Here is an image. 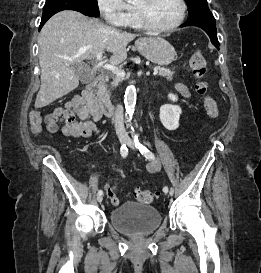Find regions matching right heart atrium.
Instances as JSON below:
<instances>
[{
    "label": "right heart atrium",
    "instance_id": "obj_1",
    "mask_svg": "<svg viewBox=\"0 0 261 273\" xmlns=\"http://www.w3.org/2000/svg\"><path fill=\"white\" fill-rule=\"evenodd\" d=\"M105 21L115 27H125L130 16V7L124 0H97Z\"/></svg>",
    "mask_w": 261,
    "mask_h": 273
}]
</instances>
